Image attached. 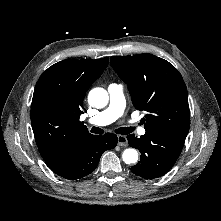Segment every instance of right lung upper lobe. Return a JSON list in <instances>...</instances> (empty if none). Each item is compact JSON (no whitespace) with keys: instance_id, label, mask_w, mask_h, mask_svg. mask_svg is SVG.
Wrapping results in <instances>:
<instances>
[{"instance_id":"1","label":"right lung upper lobe","mask_w":221,"mask_h":221,"mask_svg":"<svg viewBox=\"0 0 221 221\" xmlns=\"http://www.w3.org/2000/svg\"><path fill=\"white\" fill-rule=\"evenodd\" d=\"M107 65L108 58L66 59L40 76L32 99L31 124L47 165L57 163L92 136L79 118L86 91Z\"/></svg>"}]
</instances>
